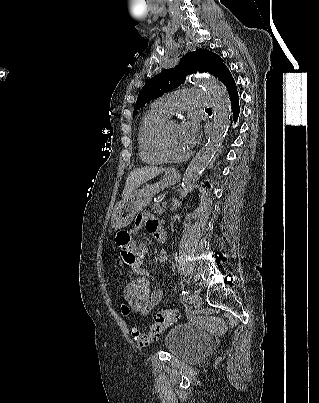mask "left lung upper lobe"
<instances>
[{
    "mask_svg": "<svg viewBox=\"0 0 319 403\" xmlns=\"http://www.w3.org/2000/svg\"><path fill=\"white\" fill-rule=\"evenodd\" d=\"M225 68L227 67L223 64V60L209 50L198 49L186 54L176 67L163 70L143 86L139 92L133 116L138 109L144 107L146 102L154 100L184 83L188 74L197 71L208 72L219 78Z\"/></svg>",
    "mask_w": 319,
    "mask_h": 403,
    "instance_id": "left-lung-upper-lobe-1",
    "label": "left lung upper lobe"
}]
</instances>
